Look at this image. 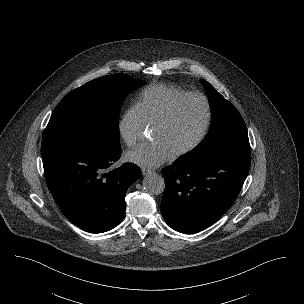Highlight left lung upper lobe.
Masks as SVG:
<instances>
[{
    "instance_id": "left-lung-upper-lobe-1",
    "label": "left lung upper lobe",
    "mask_w": 304,
    "mask_h": 304,
    "mask_svg": "<svg viewBox=\"0 0 304 304\" xmlns=\"http://www.w3.org/2000/svg\"><path fill=\"white\" fill-rule=\"evenodd\" d=\"M201 83L211 105V127L204 140L181 158L188 163H197L225 151L250 152L246 125L240 113L212 85L205 80Z\"/></svg>"
}]
</instances>
